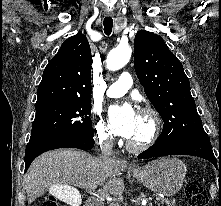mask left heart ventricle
<instances>
[{"mask_svg":"<svg viewBox=\"0 0 221 206\" xmlns=\"http://www.w3.org/2000/svg\"><path fill=\"white\" fill-rule=\"evenodd\" d=\"M149 130V121L145 117L139 115L136 130L129 140L135 143L140 142L147 137Z\"/></svg>","mask_w":221,"mask_h":206,"instance_id":"obj_1","label":"left heart ventricle"}]
</instances>
